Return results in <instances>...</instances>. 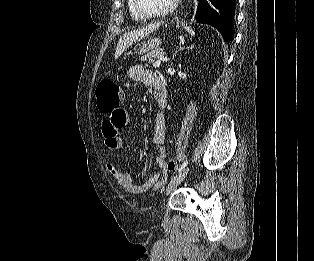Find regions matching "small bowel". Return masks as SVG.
I'll list each match as a JSON object with an SVG mask.
<instances>
[{"instance_id":"small-bowel-1","label":"small bowel","mask_w":314,"mask_h":261,"mask_svg":"<svg viewBox=\"0 0 314 261\" xmlns=\"http://www.w3.org/2000/svg\"><path fill=\"white\" fill-rule=\"evenodd\" d=\"M142 81L145 85L156 90L162 87V84L156 73L145 70L141 65H132L127 72L126 87H130L131 83ZM128 119L127 109H112L108 114V120H104L101 125L103 136L106 140V148L119 151L122 149V140L120 136ZM166 134V120L162 113H158L154 118L152 142L158 145L156 161L160 170L152 175L149 179L141 184L133 182L132 175L129 172H123L117 165L113 163L107 164L108 172L117 180L124 192L130 195L144 194L150 190L158 188L167 179L166 169V149L163 147Z\"/></svg>"}]
</instances>
